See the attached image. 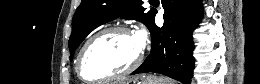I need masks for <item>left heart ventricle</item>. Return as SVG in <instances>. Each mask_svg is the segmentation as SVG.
I'll list each match as a JSON object with an SVG mask.
<instances>
[{
	"instance_id": "1",
	"label": "left heart ventricle",
	"mask_w": 260,
	"mask_h": 84,
	"mask_svg": "<svg viewBox=\"0 0 260 84\" xmlns=\"http://www.w3.org/2000/svg\"><path fill=\"white\" fill-rule=\"evenodd\" d=\"M141 47L133 35L108 32L94 40L86 52L82 74L95 80L119 73L137 58Z\"/></svg>"
}]
</instances>
